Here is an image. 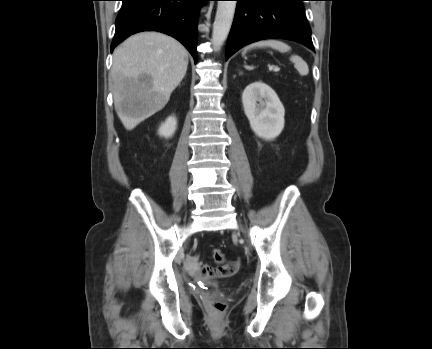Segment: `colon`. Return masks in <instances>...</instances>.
<instances>
[{"label": "colon", "mask_w": 432, "mask_h": 349, "mask_svg": "<svg viewBox=\"0 0 432 349\" xmlns=\"http://www.w3.org/2000/svg\"><path fill=\"white\" fill-rule=\"evenodd\" d=\"M212 258L217 264H223L225 262V256L220 249H213ZM212 307L217 312H221L225 308V302L222 299H215L212 302Z\"/></svg>", "instance_id": "5ec220e1"}]
</instances>
